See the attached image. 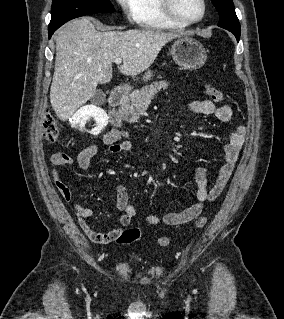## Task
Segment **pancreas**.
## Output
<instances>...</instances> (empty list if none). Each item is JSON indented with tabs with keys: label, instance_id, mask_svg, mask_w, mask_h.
Wrapping results in <instances>:
<instances>
[{
	"label": "pancreas",
	"instance_id": "obj_1",
	"mask_svg": "<svg viewBox=\"0 0 284 319\" xmlns=\"http://www.w3.org/2000/svg\"><path fill=\"white\" fill-rule=\"evenodd\" d=\"M167 87V82L159 81L133 91L129 100L122 105L120 116L129 123L138 122L140 116L147 111L155 95L161 89L165 90Z\"/></svg>",
	"mask_w": 284,
	"mask_h": 319
}]
</instances>
